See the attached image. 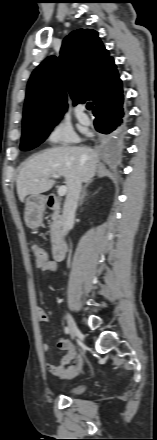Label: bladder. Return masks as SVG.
Masks as SVG:
<instances>
[{
    "mask_svg": "<svg viewBox=\"0 0 157 440\" xmlns=\"http://www.w3.org/2000/svg\"><path fill=\"white\" fill-rule=\"evenodd\" d=\"M86 387L83 385L72 387L67 389L66 393L70 396H75L83 393L85 391Z\"/></svg>",
    "mask_w": 157,
    "mask_h": 440,
    "instance_id": "bladder-1",
    "label": "bladder"
}]
</instances>
